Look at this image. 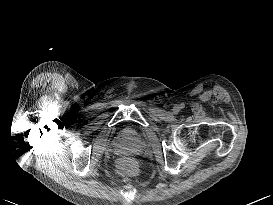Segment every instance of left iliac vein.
Segmentation results:
<instances>
[{"mask_svg": "<svg viewBox=\"0 0 273 205\" xmlns=\"http://www.w3.org/2000/svg\"><path fill=\"white\" fill-rule=\"evenodd\" d=\"M175 111H178V108H175Z\"/></svg>", "mask_w": 273, "mask_h": 205, "instance_id": "1", "label": "left iliac vein"}]
</instances>
